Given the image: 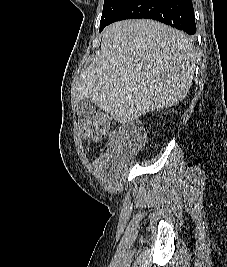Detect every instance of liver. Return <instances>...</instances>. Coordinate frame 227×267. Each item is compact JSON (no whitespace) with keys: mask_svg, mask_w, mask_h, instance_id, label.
I'll use <instances>...</instances> for the list:
<instances>
[{"mask_svg":"<svg viewBox=\"0 0 227 267\" xmlns=\"http://www.w3.org/2000/svg\"><path fill=\"white\" fill-rule=\"evenodd\" d=\"M194 61L193 44L183 32L148 19L116 22L102 33L100 55L81 73L76 99L90 98L127 123L182 101Z\"/></svg>","mask_w":227,"mask_h":267,"instance_id":"6515ba94","label":"liver"}]
</instances>
